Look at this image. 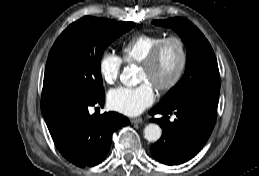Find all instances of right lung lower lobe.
<instances>
[{
  "label": "right lung lower lobe",
  "instance_id": "1",
  "mask_svg": "<svg viewBox=\"0 0 259 176\" xmlns=\"http://www.w3.org/2000/svg\"><path fill=\"white\" fill-rule=\"evenodd\" d=\"M100 96L71 94L42 96L41 111L59 152L79 167L99 164L107 155L112 134L129 119L116 112L90 115L88 108L103 105Z\"/></svg>",
  "mask_w": 259,
  "mask_h": 176
}]
</instances>
